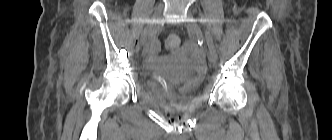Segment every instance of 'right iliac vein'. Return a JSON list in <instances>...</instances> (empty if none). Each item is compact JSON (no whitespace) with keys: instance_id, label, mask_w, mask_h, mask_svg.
I'll return each instance as SVG.
<instances>
[{"instance_id":"obj_1","label":"right iliac vein","mask_w":332,"mask_h":140,"mask_svg":"<svg viewBox=\"0 0 332 140\" xmlns=\"http://www.w3.org/2000/svg\"><path fill=\"white\" fill-rule=\"evenodd\" d=\"M163 7H164V5L162 3H160L156 6L153 17L151 19L150 26L143 33V35L141 37V44L142 45L146 44V40H147L148 35H152L156 31L157 24L159 23V21L161 19Z\"/></svg>"}]
</instances>
